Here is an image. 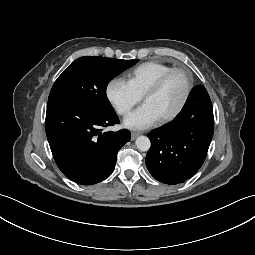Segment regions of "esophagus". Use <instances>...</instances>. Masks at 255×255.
I'll use <instances>...</instances> for the list:
<instances>
[{"label":"esophagus","mask_w":255,"mask_h":255,"mask_svg":"<svg viewBox=\"0 0 255 255\" xmlns=\"http://www.w3.org/2000/svg\"><path fill=\"white\" fill-rule=\"evenodd\" d=\"M139 136V133H137V132H132L131 133V139L132 140H134L136 137H138Z\"/></svg>","instance_id":"esophagus-1"}]
</instances>
